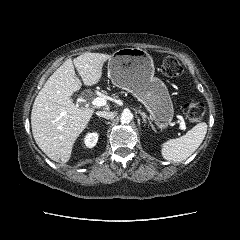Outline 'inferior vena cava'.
Returning a JSON list of instances; mask_svg holds the SVG:
<instances>
[{"label":"inferior vena cava","mask_w":240,"mask_h":240,"mask_svg":"<svg viewBox=\"0 0 240 240\" xmlns=\"http://www.w3.org/2000/svg\"><path fill=\"white\" fill-rule=\"evenodd\" d=\"M96 115L106 119H112L115 117V113L111 111H98L96 112Z\"/></svg>","instance_id":"inferior-vena-cava-1"}]
</instances>
